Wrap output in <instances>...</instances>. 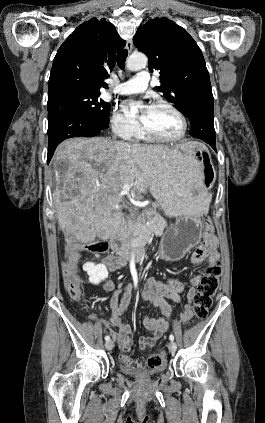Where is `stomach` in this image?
<instances>
[{"instance_id":"stomach-1","label":"stomach","mask_w":265,"mask_h":423,"mask_svg":"<svg viewBox=\"0 0 265 423\" xmlns=\"http://www.w3.org/2000/svg\"><path fill=\"white\" fill-rule=\"evenodd\" d=\"M180 145H186L187 149H176L184 156L186 164L193 165L200 171V181L189 188V195L192 201L207 191L214 176L211 154L208 148L197 141H185ZM202 224L199 213L184 212L177 216L175 224L164 233L158 256L164 261H178L195 245L201 238Z\"/></svg>"}]
</instances>
